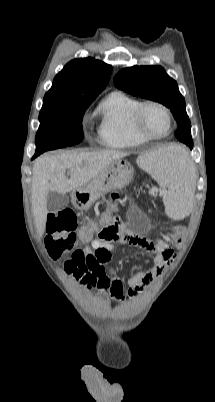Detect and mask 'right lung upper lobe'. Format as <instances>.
Here are the masks:
<instances>
[{"mask_svg": "<svg viewBox=\"0 0 215 402\" xmlns=\"http://www.w3.org/2000/svg\"><path fill=\"white\" fill-rule=\"evenodd\" d=\"M112 67L87 57L74 59L55 76L44 98H96L106 87Z\"/></svg>", "mask_w": 215, "mask_h": 402, "instance_id": "obj_1", "label": "right lung upper lobe"}]
</instances>
